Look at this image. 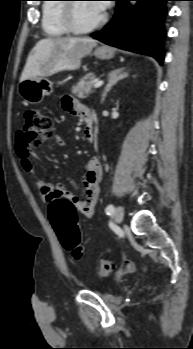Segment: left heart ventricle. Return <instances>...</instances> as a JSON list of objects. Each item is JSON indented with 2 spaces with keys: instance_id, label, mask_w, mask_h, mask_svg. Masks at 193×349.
Masks as SVG:
<instances>
[{
  "instance_id": "left-heart-ventricle-1",
  "label": "left heart ventricle",
  "mask_w": 193,
  "mask_h": 349,
  "mask_svg": "<svg viewBox=\"0 0 193 349\" xmlns=\"http://www.w3.org/2000/svg\"><path fill=\"white\" fill-rule=\"evenodd\" d=\"M99 12L92 3L80 2L75 7L76 23L80 27H86L93 24L101 17Z\"/></svg>"
}]
</instances>
